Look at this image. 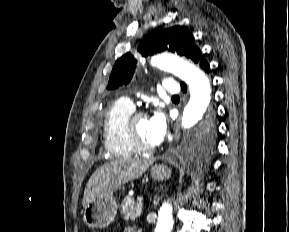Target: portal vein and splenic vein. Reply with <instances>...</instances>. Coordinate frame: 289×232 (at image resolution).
Segmentation results:
<instances>
[{"instance_id":"portal-vein-and-splenic-vein-1","label":"portal vein and splenic vein","mask_w":289,"mask_h":232,"mask_svg":"<svg viewBox=\"0 0 289 232\" xmlns=\"http://www.w3.org/2000/svg\"><path fill=\"white\" fill-rule=\"evenodd\" d=\"M137 201L141 203L143 201V198L142 197H138Z\"/></svg>"}]
</instances>
